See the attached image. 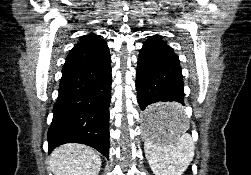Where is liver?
Segmentation results:
<instances>
[{"label":"liver","instance_id":"liver-1","mask_svg":"<svg viewBox=\"0 0 251 175\" xmlns=\"http://www.w3.org/2000/svg\"><path fill=\"white\" fill-rule=\"evenodd\" d=\"M100 153L83 143H65L52 151L49 167L54 175H98Z\"/></svg>","mask_w":251,"mask_h":175}]
</instances>
